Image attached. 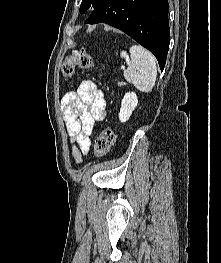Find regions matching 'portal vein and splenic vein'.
<instances>
[{
  "label": "portal vein and splenic vein",
  "mask_w": 221,
  "mask_h": 263,
  "mask_svg": "<svg viewBox=\"0 0 221 263\" xmlns=\"http://www.w3.org/2000/svg\"><path fill=\"white\" fill-rule=\"evenodd\" d=\"M121 69H125V66H124V65H122V66H121Z\"/></svg>",
  "instance_id": "18ae733b"
}]
</instances>
